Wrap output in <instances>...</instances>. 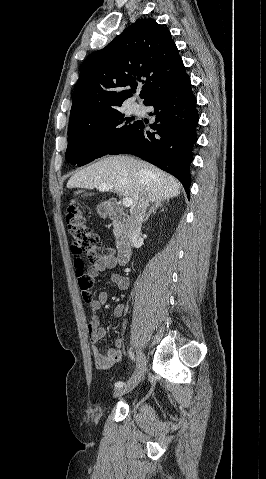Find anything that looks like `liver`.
<instances>
[{"label": "liver", "instance_id": "1", "mask_svg": "<svg viewBox=\"0 0 266 479\" xmlns=\"http://www.w3.org/2000/svg\"><path fill=\"white\" fill-rule=\"evenodd\" d=\"M104 184L132 198L131 210L143 193L148 201L156 202L178 196L181 188L170 174L144 161L121 155L105 157L78 171L68 180L67 188L93 189Z\"/></svg>", "mask_w": 266, "mask_h": 479}]
</instances>
